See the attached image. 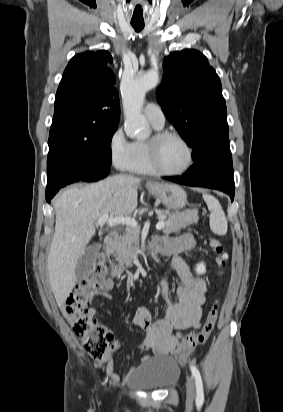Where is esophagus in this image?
<instances>
[{"mask_svg":"<svg viewBox=\"0 0 283 412\" xmlns=\"http://www.w3.org/2000/svg\"><path fill=\"white\" fill-rule=\"evenodd\" d=\"M153 184H154L153 181H148V182H147V185H153Z\"/></svg>","mask_w":283,"mask_h":412,"instance_id":"esophagus-1","label":"esophagus"}]
</instances>
